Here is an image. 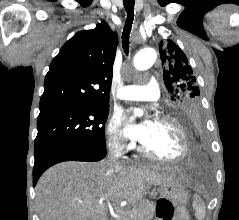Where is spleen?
I'll list each match as a JSON object with an SVG mask.
<instances>
[{
	"instance_id": "spleen-1",
	"label": "spleen",
	"mask_w": 239,
	"mask_h": 220,
	"mask_svg": "<svg viewBox=\"0 0 239 220\" xmlns=\"http://www.w3.org/2000/svg\"><path fill=\"white\" fill-rule=\"evenodd\" d=\"M193 209L195 210V216L198 220H203L205 218V204L198 195H194Z\"/></svg>"
}]
</instances>
